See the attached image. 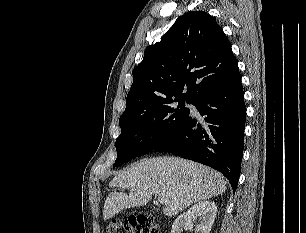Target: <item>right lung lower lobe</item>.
<instances>
[{"label": "right lung lower lobe", "instance_id": "98d812e1", "mask_svg": "<svg viewBox=\"0 0 306 233\" xmlns=\"http://www.w3.org/2000/svg\"><path fill=\"white\" fill-rule=\"evenodd\" d=\"M203 119L190 115L153 150L177 154L223 173L236 191L244 148L246 108L238 73L194 103Z\"/></svg>", "mask_w": 306, "mask_h": 233}]
</instances>
